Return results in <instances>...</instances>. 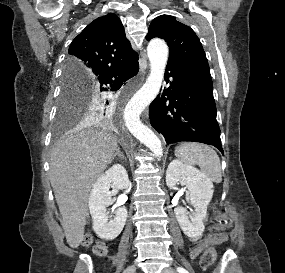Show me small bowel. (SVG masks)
Masks as SVG:
<instances>
[{
  "label": "small bowel",
  "instance_id": "obj_1",
  "mask_svg": "<svg viewBox=\"0 0 285 273\" xmlns=\"http://www.w3.org/2000/svg\"><path fill=\"white\" fill-rule=\"evenodd\" d=\"M226 240V236L225 235H221L219 237H214V236H210L207 240V242H215V243H221L224 242ZM203 248V245L198 246L197 248L194 249L193 254L197 255L201 252Z\"/></svg>",
  "mask_w": 285,
  "mask_h": 273
}]
</instances>
